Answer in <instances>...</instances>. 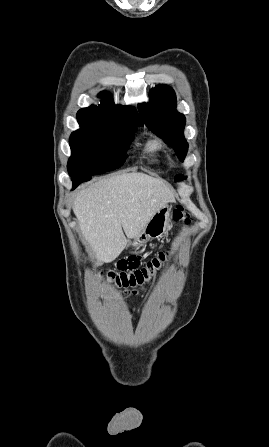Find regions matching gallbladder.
<instances>
[{
	"label": "gallbladder",
	"instance_id": "obj_1",
	"mask_svg": "<svg viewBox=\"0 0 269 447\" xmlns=\"http://www.w3.org/2000/svg\"><path fill=\"white\" fill-rule=\"evenodd\" d=\"M98 265H101V261H99Z\"/></svg>",
	"mask_w": 269,
	"mask_h": 447
}]
</instances>
